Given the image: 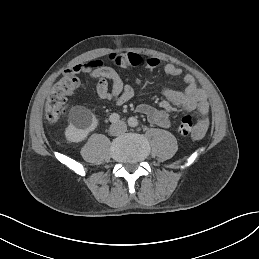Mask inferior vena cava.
Here are the masks:
<instances>
[{
  "label": "inferior vena cava",
  "mask_w": 259,
  "mask_h": 259,
  "mask_svg": "<svg viewBox=\"0 0 259 259\" xmlns=\"http://www.w3.org/2000/svg\"><path fill=\"white\" fill-rule=\"evenodd\" d=\"M111 134L119 135L125 133L127 130V125L124 122H118L116 124H112L110 127Z\"/></svg>",
  "instance_id": "inferior-vena-cava-1"
}]
</instances>
